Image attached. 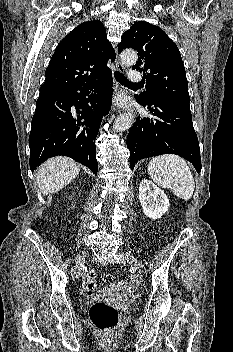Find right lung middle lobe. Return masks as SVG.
<instances>
[{"mask_svg":"<svg viewBox=\"0 0 233 352\" xmlns=\"http://www.w3.org/2000/svg\"><path fill=\"white\" fill-rule=\"evenodd\" d=\"M65 92L66 91H63V90H60V89L45 88V89H40L39 96L57 95V94L65 93Z\"/></svg>","mask_w":233,"mask_h":352,"instance_id":"dd1d6c3e","label":"right lung middle lobe"}]
</instances>
